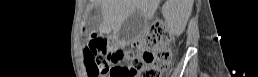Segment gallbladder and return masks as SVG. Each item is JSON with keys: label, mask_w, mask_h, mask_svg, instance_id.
<instances>
[{"label": "gallbladder", "mask_w": 258, "mask_h": 77, "mask_svg": "<svg viewBox=\"0 0 258 77\" xmlns=\"http://www.w3.org/2000/svg\"><path fill=\"white\" fill-rule=\"evenodd\" d=\"M146 18L139 10L132 13L119 28V37L122 40H132L137 37L145 28Z\"/></svg>", "instance_id": "1"}]
</instances>
